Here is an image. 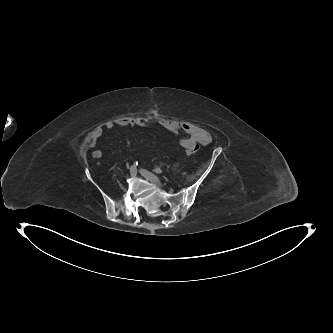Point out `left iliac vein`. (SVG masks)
Masks as SVG:
<instances>
[{
    "mask_svg": "<svg viewBox=\"0 0 333 333\" xmlns=\"http://www.w3.org/2000/svg\"><path fill=\"white\" fill-rule=\"evenodd\" d=\"M139 171L142 174V176H144L147 180H149L155 184L162 185L160 178L157 177L156 175H154L153 173H151L147 170H144V169H140Z\"/></svg>",
    "mask_w": 333,
    "mask_h": 333,
    "instance_id": "left-iliac-vein-1",
    "label": "left iliac vein"
}]
</instances>
